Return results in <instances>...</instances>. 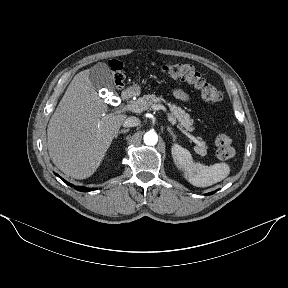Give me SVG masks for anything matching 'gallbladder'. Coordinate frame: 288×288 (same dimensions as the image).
<instances>
[{
  "label": "gallbladder",
  "mask_w": 288,
  "mask_h": 288,
  "mask_svg": "<svg viewBox=\"0 0 288 288\" xmlns=\"http://www.w3.org/2000/svg\"><path fill=\"white\" fill-rule=\"evenodd\" d=\"M89 79L96 88H107L110 91L114 90L111 71L106 63L100 62L89 69Z\"/></svg>",
  "instance_id": "bac80fb5"
}]
</instances>
